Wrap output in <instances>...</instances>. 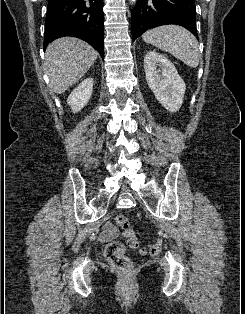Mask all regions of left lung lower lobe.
<instances>
[{"instance_id":"left-lung-lower-lobe-1","label":"left lung lower lobe","mask_w":245,"mask_h":314,"mask_svg":"<svg viewBox=\"0 0 245 314\" xmlns=\"http://www.w3.org/2000/svg\"><path fill=\"white\" fill-rule=\"evenodd\" d=\"M167 24L183 26L198 38L194 0H137L131 14L133 40L150 28Z\"/></svg>"}]
</instances>
